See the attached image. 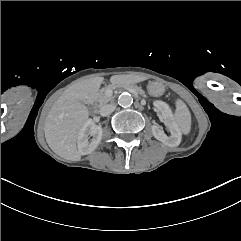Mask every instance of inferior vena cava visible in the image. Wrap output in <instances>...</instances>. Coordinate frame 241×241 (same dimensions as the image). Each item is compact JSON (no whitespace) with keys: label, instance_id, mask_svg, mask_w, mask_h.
Returning a JSON list of instances; mask_svg holds the SVG:
<instances>
[{"label":"inferior vena cava","instance_id":"inferior-vena-cava-1","mask_svg":"<svg viewBox=\"0 0 241 241\" xmlns=\"http://www.w3.org/2000/svg\"><path fill=\"white\" fill-rule=\"evenodd\" d=\"M116 109V105L114 104H106L104 106L101 107L100 109V115L101 116H108L110 115L112 112H114Z\"/></svg>","mask_w":241,"mask_h":241}]
</instances>
